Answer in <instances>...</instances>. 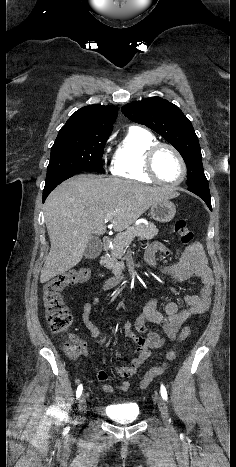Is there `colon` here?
Instances as JSON below:
<instances>
[{
	"label": "colon",
	"mask_w": 236,
	"mask_h": 467,
	"mask_svg": "<svg viewBox=\"0 0 236 467\" xmlns=\"http://www.w3.org/2000/svg\"><path fill=\"white\" fill-rule=\"evenodd\" d=\"M174 230L178 234L181 242L188 245L193 241V232L187 227L186 222L179 219L175 222ZM90 276V270L86 267L75 268L67 270L61 274L56 275L43 287V304L45 309V316L51 332L55 334L67 333L71 323L72 315L68 307L64 303L61 292L70 285L82 283ZM191 330L189 327H184L179 334L178 340L181 342L185 340ZM66 353L71 358H78L86 351L83 341L76 335H68V340L65 344ZM176 358V351L170 350L166 354V362L162 365L153 367L145 374L141 381V388L146 389L152 380L159 374L163 373L167 368L169 362Z\"/></svg>",
	"instance_id": "1"
}]
</instances>
